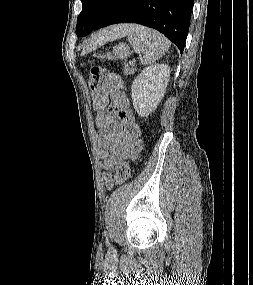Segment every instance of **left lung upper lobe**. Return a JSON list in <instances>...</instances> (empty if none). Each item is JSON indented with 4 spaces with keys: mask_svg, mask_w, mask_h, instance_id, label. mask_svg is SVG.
Here are the masks:
<instances>
[{
    "mask_svg": "<svg viewBox=\"0 0 253 285\" xmlns=\"http://www.w3.org/2000/svg\"><path fill=\"white\" fill-rule=\"evenodd\" d=\"M114 0H81L82 11L77 18V36H86L107 14Z\"/></svg>",
    "mask_w": 253,
    "mask_h": 285,
    "instance_id": "obj_1",
    "label": "left lung upper lobe"
}]
</instances>
